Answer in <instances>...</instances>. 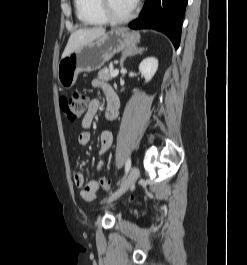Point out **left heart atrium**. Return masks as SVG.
I'll return each instance as SVG.
<instances>
[{"instance_id":"left-heart-atrium-1","label":"left heart atrium","mask_w":247,"mask_h":265,"mask_svg":"<svg viewBox=\"0 0 247 265\" xmlns=\"http://www.w3.org/2000/svg\"><path fill=\"white\" fill-rule=\"evenodd\" d=\"M133 4H135L138 0H130Z\"/></svg>"}]
</instances>
